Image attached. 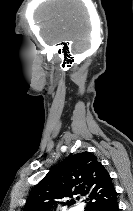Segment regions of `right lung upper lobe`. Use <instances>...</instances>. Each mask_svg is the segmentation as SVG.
<instances>
[{"label":"right lung upper lobe","mask_w":133,"mask_h":211,"mask_svg":"<svg viewBox=\"0 0 133 211\" xmlns=\"http://www.w3.org/2000/svg\"><path fill=\"white\" fill-rule=\"evenodd\" d=\"M116 194L109 173L97 157L82 152L67 157L33 188L24 211H50L56 207V199L72 198L73 195L87 196L85 211H97L116 202ZM73 202L70 200L66 204Z\"/></svg>","instance_id":"right-lung-upper-lobe-1"}]
</instances>
